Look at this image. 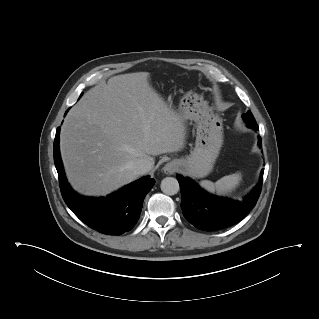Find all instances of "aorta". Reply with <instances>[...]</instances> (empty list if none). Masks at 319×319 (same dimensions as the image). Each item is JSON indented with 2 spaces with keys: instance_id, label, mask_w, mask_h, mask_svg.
Wrapping results in <instances>:
<instances>
[{
  "instance_id": "aorta-1",
  "label": "aorta",
  "mask_w": 319,
  "mask_h": 319,
  "mask_svg": "<svg viewBox=\"0 0 319 319\" xmlns=\"http://www.w3.org/2000/svg\"><path fill=\"white\" fill-rule=\"evenodd\" d=\"M161 191L166 195H175L180 187L176 178L166 177L161 181Z\"/></svg>"
}]
</instances>
